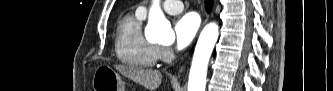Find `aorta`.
<instances>
[{
    "instance_id": "762f6f07",
    "label": "aorta",
    "mask_w": 333,
    "mask_h": 91,
    "mask_svg": "<svg viewBox=\"0 0 333 91\" xmlns=\"http://www.w3.org/2000/svg\"><path fill=\"white\" fill-rule=\"evenodd\" d=\"M219 36L216 23L207 24L197 41L189 73L188 91H205L209 59ZM146 37L159 42L174 40L170 22L162 13L156 0L150 10Z\"/></svg>"
}]
</instances>
